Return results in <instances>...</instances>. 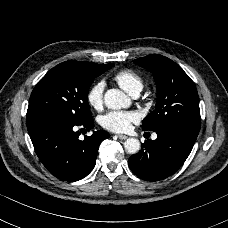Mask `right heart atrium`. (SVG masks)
<instances>
[{
	"label": "right heart atrium",
	"instance_id": "1",
	"mask_svg": "<svg viewBox=\"0 0 228 228\" xmlns=\"http://www.w3.org/2000/svg\"><path fill=\"white\" fill-rule=\"evenodd\" d=\"M105 87L106 82L99 79L93 82L87 90L86 100L94 109H100L103 106Z\"/></svg>",
	"mask_w": 228,
	"mask_h": 228
}]
</instances>
